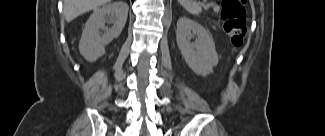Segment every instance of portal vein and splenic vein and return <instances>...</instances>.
<instances>
[{
	"mask_svg": "<svg viewBox=\"0 0 325 136\" xmlns=\"http://www.w3.org/2000/svg\"><path fill=\"white\" fill-rule=\"evenodd\" d=\"M210 5H211V4H205L203 7H204V9L207 10V9H209ZM214 9L216 10V8H214Z\"/></svg>",
	"mask_w": 325,
	"mask_h": 136,
	"instance_id": "1",
	"label": "portal vein and splenic vein"
}]
</instances>
